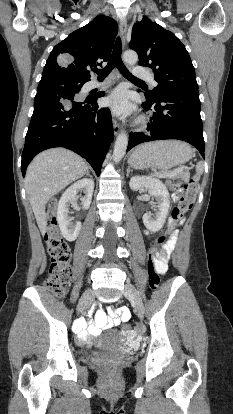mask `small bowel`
I'll list each match as a JSON object with an SVG mask.
<instances>
[{"label": "small bowel", "mask_w": 233, "mask_h": 414, "mask_svg": "<svg viewBox=\"0 0 233 414\" xmlns=\"http://www.w3.org/2000/svg\"><path fill=\"white\" fill-rule=\"evenodd\" d=\"M177 223H173L171 219L168 220L166 231L171 232L172 236L164 246L163 255L156 260L155 269L158 275H163L168 269V254L172 251L177 239ZM147 234H150L147 232ZM171 247V248H170ZM93 308L99 307L98 301L92 302ZM130 318V312L126 307H120L116 310L107 307L106 310L100 306L95 313L94 322L81 321L77 325V332L79 339L82 342H89L91 336L97 335L102 329H109L126 322Z\"/></svg>", "instance_id": "1"}]
</instances>
